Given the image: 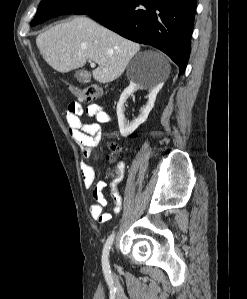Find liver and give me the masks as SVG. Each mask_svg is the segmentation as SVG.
Returning a JSON list of instances; mask_svg holds the SVG:
<instances>
[{
    "label": "liver",
    "instance_id": "1",
    "mask_svg": "<svg viewBox=\"0 0 247 299\" xmlns=\"http://www.w3.org/2000/svg\"><path fill=\"white\" fill-rule=\"evenodd\" d=\"M36 44L43 59L54 70L67 73L81 68L87 60L98 67L92 71L99 83L120 77L140 45L99 25L88 17H74L39 34ZM163 67V80L170 74L165 56L155 53Z\"/></svg>",
    "mask_w": 247,
    "mask_h": 299
}]
</instances>
